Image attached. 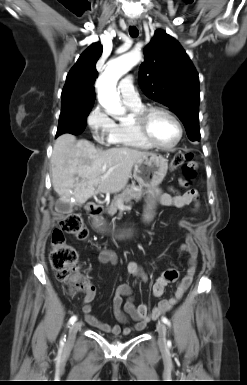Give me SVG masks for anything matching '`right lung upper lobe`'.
Listing matches in <instances>:
<instances>
[{"mask_svg": "<svg viewBox=\"0 0 247 385\" xmlns=\"http://www.w3.org/2000/svg\"><path fill=\"white\" fill-rule=\"evenodd\" d=\"M103 47L100 43L90 45L79 57L69 71L62 90V102L94 104L95 90L93 84L98 76L96 62Z\"/></svg>", "mask_w": 247, "mask_h": 385, "instance_id": "right-lung-upper-lobe-1", "label": "right lung upper lobe"}]
</instances>
